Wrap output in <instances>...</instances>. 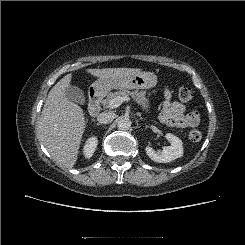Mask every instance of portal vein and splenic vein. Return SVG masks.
I'll use <instances>...</instances> for the list:
<instances>
[{
	"mask_svg": "<svg viewBox=\"0 0 245 245\" xmlns=\"http://www.w3.org/2000/svg\"><path fill=\"white\" fill-rule=\"evenodd\" d=\"M124 101H130L129 97H116L113 98L110 103H109V107L110 108H117L119 107Z\"/></svg>",
	"mask_w": 245,
	"mask_h": 245,
	"instance_id": "portal-vein-and-splenic-vein-1",
	"label": "portal vein and splenic vein"
}]
</instances>
